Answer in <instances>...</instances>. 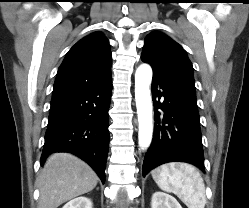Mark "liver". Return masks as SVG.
<instances>
[{"label":"liver","mask_w":249,"mask_h":208,"mask_svg":"<svg viewBox=\"0 0 249 208\" xmlns=\"http://www.w3.org/2000/svg\"><path fill=\"white\" fill-rule=\"evenodd\" d=\"M97 183V174L78 157L68 153L52 154L37 179L40 192L38 208H57L92 191Z\"/></svg>","instance_id":"liver-1"}]
</instances>
